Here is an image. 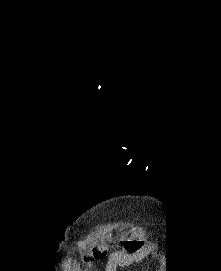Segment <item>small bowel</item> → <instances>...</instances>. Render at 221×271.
Masks as SVG:
<instances>
[{
    "mask_svg": "<svg viewBox=\"0 0 221 271\" xmlns=\"http://www.w3.org/2000/svg\"><path fill=\"white\" fill-rule=\"evenodd\" d=\"M150 252V248H142L131 254L124 252H115L111 255L108 264L107 271H117L118 267H128L134 263H138L143 260Z\"/></svg>",
    "mask_w": 221,
    "mask_h": 271,
    "instance_id": "small-bowel-1",
    "label": "small bowel"
}]
</instances>
